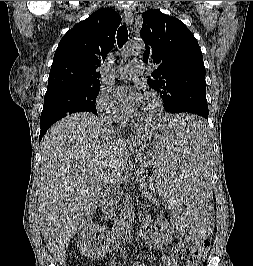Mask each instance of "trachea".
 <instances>
[{
  "label": "trachea",
  "instance_id": "obj_1",
  "mask_svg": "<svg viewBox=\"0 0 253 266\" xmlns=\"http://www.w3.org/2000/svg\"><path fill=\"white\" fill-rule=\"evenodd\" d=\"M127 40H128V30L126 26L122 25L117 31L118 47L122 48L123 45L127 42Z\"/></svg>",
  "mask_w": 253,
  "mask_h": 266
}]
</instances>
